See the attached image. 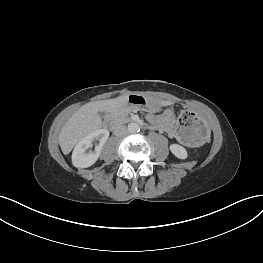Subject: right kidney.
Listing matches in <instances>:
<instances>
[{"label":"right kidney","instance_id":"1","mask_svg":"<svg viewBox=\"0 0 263 263\" xmlns=\"http://www.w3.org/2000/svg\"><path fill=\"white\" fill-rule=\"evenodd\" d=\"M108 137L109 131L107 129H98L85 136L73 150L72 164L77 168L92 166L98 160ZM93 143H96L95 149L90 150L93 147Z\"/></svg>","mask_w":263,"mask_h":263}]
</instances>
